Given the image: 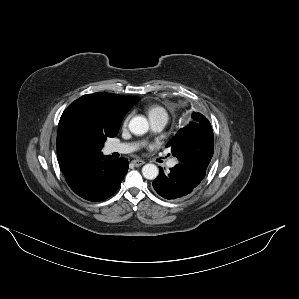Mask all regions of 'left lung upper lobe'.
<instances>
[{"label": "left lung upper lobe", "instance_id": "5c2ea615", "mask_svg": "<svg viewBox=\"0 0 299 299\" xmlns=\"http://www.w3.org/2000/svg\"><path fill=\"white\" fill-rule=\"evenodd\" d=\"M189 124L169 141L172 154L179 163L207 170L214 152V137L209 120L193 112Z\"/></svg>", "mask_w": 299, "mask_h": 299}]
</instances>
